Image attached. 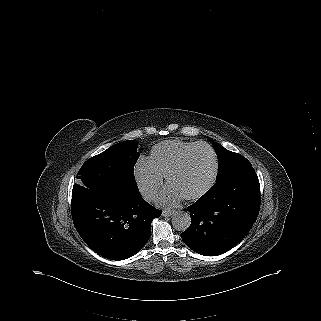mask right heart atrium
Returning a JSON list of instances; mask_svg holds the SVG:
<instances>
[{"instance_id":"d8ad5b80","label":"right heart atrium","mask_w":321,"mask_h":321,"mask_svg":"<svg viewBox=\"0 0 321 321\" xmlns=\"http://www.w3.org/2000/svg\"><path fill=\"white\" fill-rule=\"evenodd\" d=\"M133 178L142 195L152 200L162 184L160 176L151 166L148 158H139L133 168Z\"/></svg>"}]
</instances>
